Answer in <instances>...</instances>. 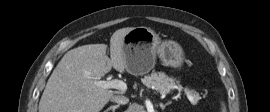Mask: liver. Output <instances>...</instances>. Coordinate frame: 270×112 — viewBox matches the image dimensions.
Instances as JSON below:
<instances>
[{
    "label": "liver",
    "mask_w": 270,
    "mask_h": 112,
    "mask_svg": "<svg viewBox=\"0 0 270 112\" xmlns=\"http://www.w3.org/2000/svg\"><path fill=\"white\" fill-rule=\"evenodd\" d=\"M133 27L116 30L106 44H89L68 51L49 77L39 102V112H99L113 95L124 91L103 89L96 82L113 67L126 70L123 39Z\"/></svg>",
    "instance_id": "1"
}]
</instances>
